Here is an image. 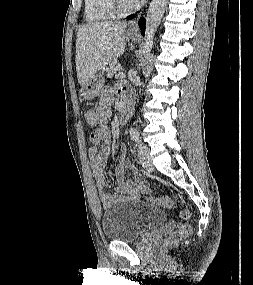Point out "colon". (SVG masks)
<instances>
[{"label":"colon","mask_w":253,"mask_h":285,"mask_svg":"<svg viewBox=\"0 0 253 285\" xmlns=\"http://www.w3.org/2000/svg\"><path fill=\"white\" fill-rule=\"evenodd\" d=\"M84 116L86 122L91 126H94L99 122V118L95 110L89 109L85 111ZM151 201L154 204L164 208H171L173 206V200L169 196L152 198ZM180 216L182 221L180 222L178 227L169 235L167 239V244H174L186 238L191 232V226L188 222L190 219V212L187 209H185L181 212Z\"/></svg>","instance_id":"obj_1"}]
</instances>
